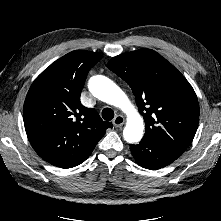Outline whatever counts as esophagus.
I'll list each match as a JSON object with an SVG mask.
<instances>
[{
	"mask_svg": "<svg viewBox=\"0 0 221 221\" xmlns=\"http://www.w3.org/2000/svg\"><path fill=\"white\" fill-rule=\"evenodd\" d=\"M125 123V119L123 116L121 115H117L114 119H113V124L115 127H121L123 124Z\"/></svg>",
	"mask_w": 221,
	"mask_h": 221,
	"instance_id": "esophagus-1",
	"label": "esophagus"
}]
</instances>
